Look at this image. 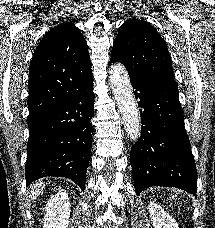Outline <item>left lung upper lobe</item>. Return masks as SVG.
<instances>
[{"mask_svg":"<svg viewBox=\"0 0 215 228\" xmlns=\"http://www.w3.org/2000/svg\"><path fill=\"white\" fill-rule=\"evenodd\" d=\"M111 62L122 63L130 77L174 80L171 57L160 34L149 23L131 18L114 40Z\"/></svg>","mask_w":215,"mask_h":228,"instance_id":"obj_1","label":"left lung upper lobe"}]
</instances>
